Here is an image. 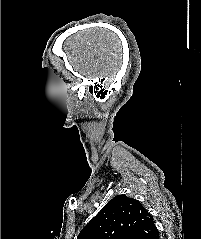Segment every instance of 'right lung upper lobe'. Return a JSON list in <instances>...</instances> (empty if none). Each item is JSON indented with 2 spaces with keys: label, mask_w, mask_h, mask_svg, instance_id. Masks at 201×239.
<instances>
[{
  "label": "right lung upper lobe",
  "mask_w": 201,
  "mask_h": 239,
  "mask_svg": "<svg viewBox=\"0 0 201 239\" xmlns=\"http://www.w3.org/2000/svg\"><path fill=\"white\" fill-rule=\"evenodd\" d=\"M153 217L142 204L117 195L80 231L77 239H157Z\"/></svg>",
  "instance_id": "obj_1"
}]
</instances>
